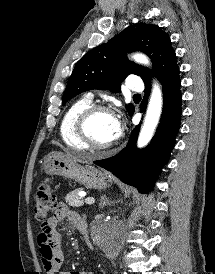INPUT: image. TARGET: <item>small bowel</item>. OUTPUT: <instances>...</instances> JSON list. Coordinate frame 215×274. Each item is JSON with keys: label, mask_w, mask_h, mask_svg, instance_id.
I'll use <instances>...</instances> for the list:
<instances>
[{"label": "small bowel", "mask_w": 215, "mask_h": 274, "mask_svg": "<svg viewBox=\"0 0 215 274\" xmlns=\"http://www.w3.org/2000/svg\"><path fill=\"white\" fill-rule=\"evenodd\" d=\"M69 221L80 231L87 227L86 222L67 205L61 203L57 212L41 225L38 235L39 256L46 274H71L61 271L64 262L62 239L57 226L60 222ZM76 274H93L92 272H78Z\"/></svg>", "instance_id": "obj_1"}]
</instances>
